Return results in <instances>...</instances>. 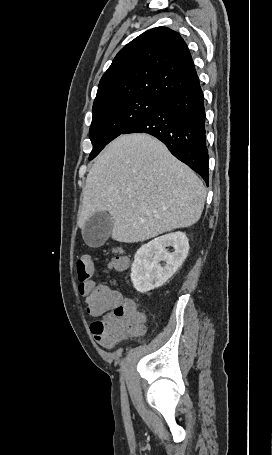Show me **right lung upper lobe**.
<instances>
[{"label": "right lung upper lobe", "instance_id": "1", "mask_svg": "<svg viewBox=\"0 0 272 455\" xmlns=\"http://www.w3.org/2000/svg\"><path fill=\"white\" fill-rule=\"evenodd\" d=\"M198 80L179 33L166 27L153 28L118 52L100 80L93 108L135 96L165 99Z\"/></svg>", "mask_w": 272, "mask_h": 455}]
</instances>
